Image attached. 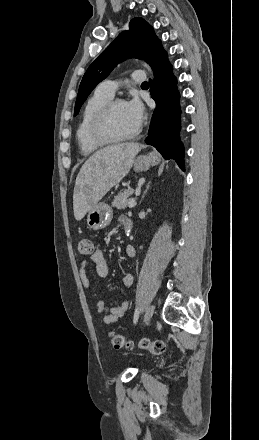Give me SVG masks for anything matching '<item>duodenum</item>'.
Segmentation results:
<instances>
[{
  "label": "duodenum",
  "mask_w": 259,
  "mask_h": 440,
  "mask_svg": "<svg viewBox=\"0 0 259 440\" xmlns=\"http://www.w3.org/2000/svg\"><path fill=\"white\" fill-rule=\"evenodd\" d=\"M132 227H133L132 221L130 219H128L124 224V229L127 232H130L132 230Z\"/></svg>",
  "instance_id": "410a0bca"
}]
</instances>
